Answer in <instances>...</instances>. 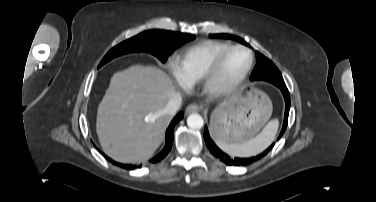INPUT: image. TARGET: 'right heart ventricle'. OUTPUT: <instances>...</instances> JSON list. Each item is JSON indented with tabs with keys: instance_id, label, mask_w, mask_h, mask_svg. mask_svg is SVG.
Wrapping results in <instances>:
<instances>
[{
	"instance_id": "obj_1",
	"label": "right heart ventricle",
	"mask_w": 376,
	"mask_h": 202,
	"mask_svg": "<svg viewBox=\"0 0 376 202\" xmlns=\"http://www.w3.org/2000/svg\"><path fill=\"white\" fill-rule=\"evenodd\" d=\"M231 44L206 40L181 51L175 59V68L184 84L199 83L216 58Z\"/></svg>"
}]
</instances>
